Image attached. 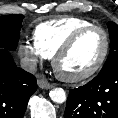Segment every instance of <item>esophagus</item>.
<instances>
[{
  "mask_svg": "<svg viewBox=\"0 0 118 118\" xmlns=\"http://www.w3.org/2000/svg\"><path fill=\"white\" fill-rule=\"evenodd\" d=\"M37 84L41 89H51L53 85L47 81L44 77H40L37 80Z\"/></svg>",
  "mask_w": 118,
  "mask_h": 118,
  "instance_id": "esophagus-1",
  "label": "esophagus"
}]
</instances>
